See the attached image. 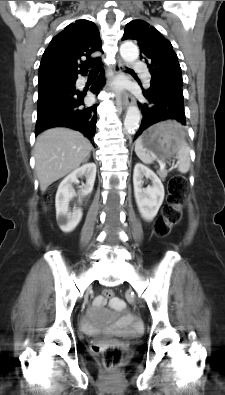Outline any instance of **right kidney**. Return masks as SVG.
<instances>
[{
  "instance_id": "1",
  "label": "right kidney",
  "mask_w": 225,
  "mask_h": 395,
  "mask_svg": "<svg viewBox=\"0 0 225 395\" xmlns=\"http://www.w3.org/2000/svg\"><path fill=\"white\" fill-rule=\"evenodd\" d=\"M82 176H85L86 183L83 184L80 191L79 202L81 203L80 196H87L93 190L96 177V165L94 163H87L77 168L64 178L58 187L55 198L56 220L63 232L74 230L82 218L80 208H74L72 212L69 210V202L75 195L72 184L78 182V178Z\"/></svg>"
}]
</instances>
